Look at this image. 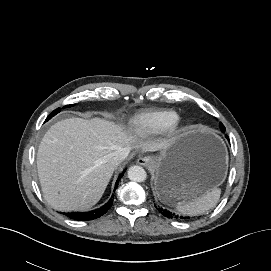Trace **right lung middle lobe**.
Listing matches in <instances>:
<instances>
[{"instance_id":"right-lung-middle-lobe-1","label":"right lung middle lobe","mask_w":271,"mask_h":271,"mask_svg":"<svg viewBox=\"0 0 271 271\" xmlns=\"http://www.w3.org/2000/svg\"><path fill=\"white\" fill-rule=\"evenodd\" d=\"M70 106H73V105H68V106H65V107H70ZM61 111L60 108L54 110L46 119V121H48L49 119H51L54 115H56L57 113H59Z\"/></svg>"}]
</instances>
